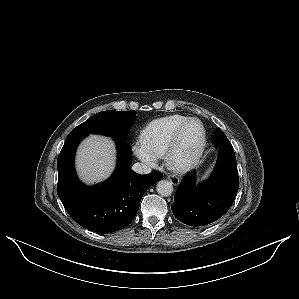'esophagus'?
<instances>
[{"mask_svg": "<svg viewBox=\"0 0 299 299\" xmlns=\"http://www.w3.org/2000/svg\"><path fill=\"white\" fill-rule=\"evenodd\" d=\"M167 179L175 186H177L180 183V179L177 176L168 175Z\"/></svg>", "mask_w": 299, "mask_h": 299, "instance_id": "34e87169", "label": "esophagus"}]
</instances>
